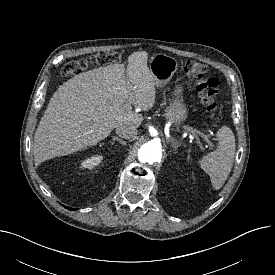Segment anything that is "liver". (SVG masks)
<instances>
[{
    "label": "liver",
    "mask_w": 275,
    "mask_h": 275,
    "mask_svg": "<svg viewBox=\"0 0 275 275\" xmlns=\"http://www.w3.org/2000/svg\"><path fill=\"white\" fill-rule=\"evenodd\" d=\"M146 51L134 52L124 64L81 73L61 85L51 97L36 129V164L95 145L121 125L139 127L143 117L125 108L148 111L155 103L156 84Z\"/></svg>",
    "instance_id": "obj_1"
}]
</instances>
